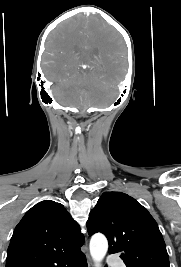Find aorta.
I'll return each mask as SVG.
<instances>
[{
	"mask_svg": "<svg viewBox=\"0 0 181 267\" xmlns=\"http://www.w3.org/2000/svg\"><path fill=\"white\" fill-rule=\"evenodd\" d=\"M108 250V242L104 235L95 234L90 240V254L96 267H100Z\"/></svg>",
	"mask_w": 181,
	"mask_h": 267,
	"instance_id": "1",
	"label": "aorta"
}]
</instances>
